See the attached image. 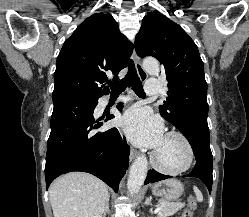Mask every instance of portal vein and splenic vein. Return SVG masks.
<instances>
[{
	"label": "portal vein and splenic vein",
	"mask_w": 249,
	"mask_h": 217,
	"mask_svg": "<svg viewBox=\"0 0 249 217\" xmlns=\"http://www.w3.org/2000/svg\"><path fill=\"white\" fill-rule=\"evenodd\" d=\"M161 209H162V207H161V206H158V207L155 209L154 213L157 214Z\"/></svg>",
	"instance_id": "portal-vein-and-splenic-vein-1"
}]
</instances>
